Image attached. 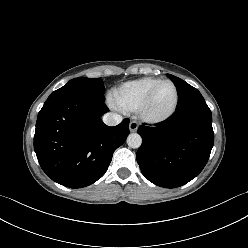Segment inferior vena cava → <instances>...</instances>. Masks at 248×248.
<instances>
[{
	"mask_svg": "<svg viewBox=\"0 0 248 248\" xmlns=\"http://www.w3.org/2000/svg\"><path fill=\"white\" fill-rule=\"evenodd\" d=\"M122 120V116L116 113H107L103 116V122L108 126H116Z\"/></svg>",
	"mask_w": 248,
	"mask_h": 248,
	"instance_id": "602c4592",
	"label": "inferior vena cava"
}]
</instances>
